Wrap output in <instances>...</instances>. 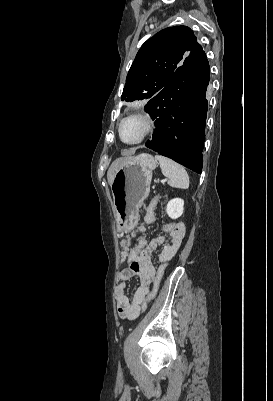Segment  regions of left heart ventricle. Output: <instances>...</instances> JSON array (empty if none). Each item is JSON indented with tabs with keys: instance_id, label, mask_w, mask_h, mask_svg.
I'll return each mask as SVG.
<instances>
[{
	"instance_id": "left-heart-ventricle-1",
	"label": "left heart ventricle",
	"mask_w": 273,
	"mask_h": 401,
	"mask_svg": "<svg viewBox=\"0 0 273 401\" xmlns=\"http://www.w3.org/2000/svg\"><path fill=\"white\" fill-rule=\"evenodd\" d=\"M144 131L143 123L136 118H128L121 125V138L125 142L137 140Z\"/></svg>"
}]
</instances>
